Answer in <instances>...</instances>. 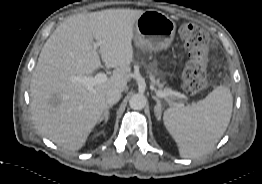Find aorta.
I'll list each match as a JSON object with an SVG mask.
<instances>
[{
  "mask_svg": "<svg viewBox=\"0 0 262 184\" xmlns=\"http://www.w3.org/2000/svg\"><path fill=\"white\" fill-rule=\"evenodd\" d=\"M147 103V99L143 94L137 93L130 97L129 106L134 110H142Z\"/></svg>",
  "mask_w": 262,
  "mask_h": 184,
  "instance_id": "aorta-1",
  "label": "aorta"
}]
</instances>
